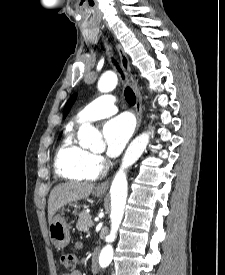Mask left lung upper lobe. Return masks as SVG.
<instances>
[{
	"label": "left lung upper lobe",
	"instance_id": "1",
	"mask_svg": "<svg viewBox=\"0 0 225 275\" xmlns=\"http://www.w3.org/2000/svg\"><path fill=\"white\" fill-rule=\"evenodd\" d=\"M75 99H76V95H73V96L68 100V102L66 103L65 108H64V117L68 114V112H69L71 106L73 105Z\"/></svg>",
	"mask_w": 225,
	"mask_h": 275
}]
</instances>
